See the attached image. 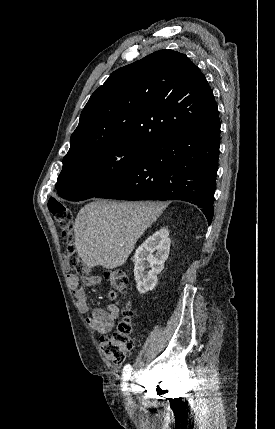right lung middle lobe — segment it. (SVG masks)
<instances>
[{"label": "right lung middle lobe", "instance_id": "obj_1", "mask_svg": "<svg viewBox=\"0 0 275 429\" xmlns=\"http://www.w3.org/2000/svg\"><path fill=\"white\" fill-rule=\"evenodd\" d=\"M149 147L116 144L88 153L63 165L55 185L70 201L86 200L114 183L144 160Z\"/></svg>", "mask_w": 275, "mask_h": 429}]
</instances>
